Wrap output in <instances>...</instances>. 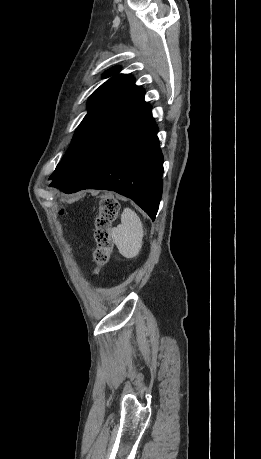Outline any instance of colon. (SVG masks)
<instances>
[{"label":"colon","mask_w":261,"mask_h":459,"mask_svg":"<svg viewBox=\"0 0 261 459\" xmlns=\"http://www.w3.org/2000/svg\"><path fill=\"white\" fill-rule=\"evenodd\" d=\"M79 194H83V191H79ZM76 200L77 198L72 197L68 199V202L71 203ZM119 210L120 205L114 195L107 193L101 196L99 211L95 220L96 247L93 252V275H98L108 261L112 250V228L118 218Z\"/></svg>","instance_id":"obj_1"}]
</instances>
